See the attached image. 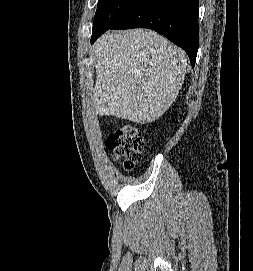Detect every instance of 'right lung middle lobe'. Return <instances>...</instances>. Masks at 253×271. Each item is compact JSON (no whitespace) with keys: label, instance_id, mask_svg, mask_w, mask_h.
Segmentation results:
<instances>
[{"label":"right lung middle lobe","instance_id":"1","mask_svg":"<svg viewBox=\"0 0 253 271\" xmlns=\"http://www.w3.org/2000/svg\"><path fill=\"white\" fill-rule=\"evenodd\" d=\"M133 1L99 0L93 22V33L108 30Z\"/></svg>","mask_w":253,"mask_h":271}]
</instances>
